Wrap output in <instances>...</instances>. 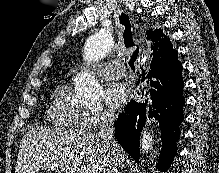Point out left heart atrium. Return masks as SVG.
<instances>
[{"label":"left heart atrium","mask_w":219,"mask_h":173,"mask_svg":"<svg viewBox=\"0 0 219 173\" xmlns=\"http://www.w3.org/2000/svg\"><path fill=\"white\" fill-rule=\"evenodd\" d=\"M128 98V88L122 82H111L107 85L105 91V101L112 107L117 108L125 103Z\"/></svg>","instance_id":"39dd6f15"}]
</instances>
